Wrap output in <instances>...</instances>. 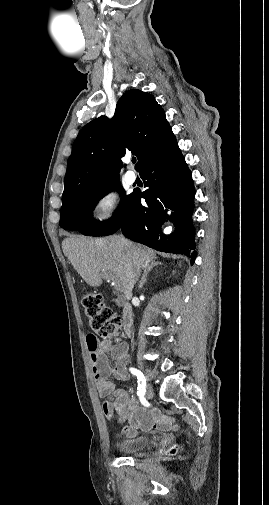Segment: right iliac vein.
<instances>
[{"instance_id": "right-iliac-vein-1", "label": "right iliac vein", "mask_w": 269, "mask_h": 505, "mask_svg": "<svg viewBox=\"0 0 269 505\" xmlns=\"http://www.w3.org/2000/svg\"><path fill=\"white\" fill-rule=\"evenodd\" d=\"M145 395H146V398H148V399H151L153 397V389L150 386V382H146Z\"/></svg>"}]
</instances>
